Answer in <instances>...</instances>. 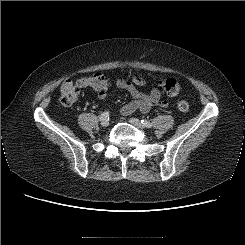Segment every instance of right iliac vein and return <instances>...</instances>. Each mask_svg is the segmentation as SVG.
<instances>
[{
    "mask_svg": "<svg viewBox=\"0 0 245 245\" xmlns=\"http://www.w3.org/2000/svg\"><path fill=\"white\" fill-rule=\"evenodd\" d=\"M101 125H102L103 127H107V126L109 125V120H108V119L102 120V121H101Z\"/></svg>",
    "mask_w": 245,
    "mask_h": 245,
    "instance_id": "1",
    "label": "right iliac vein"
}]
</instances>
